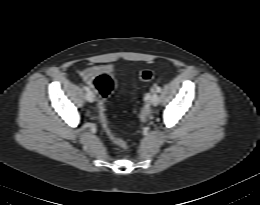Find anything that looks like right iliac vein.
Segmentation results:
<instances>
[{
	"label": "right iliac vein",
	"mask_w": 260,
	"mask_h": 205,
	"mask_svg": "<svg viewBox=\"0 0 260 205\" xmlns=\"http://www.w3.org/2000/svg\"><path fill=\"white\" fill-rule=\"evenodd\" d=\"M86 100L88 102H94L95 101V97H94V94L91 92V91H88L86 93V96H85Z\"/></svg>",
	"instance_id": "right-iliac-vein-1"
}]
</instances>
